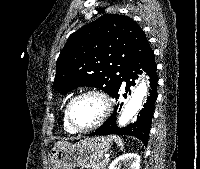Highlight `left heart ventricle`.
<instances>
[{"instance_id": "left-heart-ventricle-1", "label": "left heart ventricle", "mask_w": 200, "mask_h": 169, "mask_svg": "<svg viewBox=\"0 0 200 169\" xmlns=\"http://www.w3.org/2000/svg\"><path fill=\"white\" fill-rule=\"evenodd\" d=\"M103 111L101 100L93 95L78 99L72 107V119L79 128L92 126L100 118Z\"/></svg>"}]
</instances>
